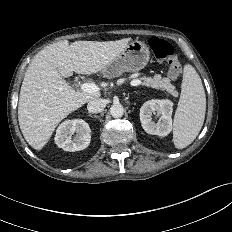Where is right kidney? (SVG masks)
I'll list each match as a JSON object with an SVG mask.
<instances>
[{
    "instance_id": "obj_1",
    "label": "right kidney",
    "mask_w": 232,
    "mask_h": 232,
    "mask_svg": "<svg viewBox=\"0 0 232 232\" xmlns=\"http://www.w3.org/2000/svg\"><path fill=\"white\" fill-rule=\"evenodd\" d=\"M90 132L89 125L82 119L65 120L56 130L55 143L64 151H80L90 144Z\"/></svg>"
}]
</instances>
